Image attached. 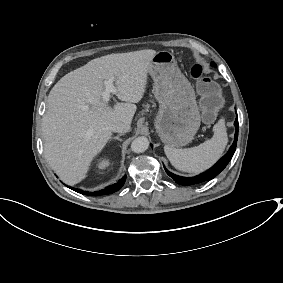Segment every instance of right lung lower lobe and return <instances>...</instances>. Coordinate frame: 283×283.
Wrapping results in <instances>:
<instances>
[{
    "label": "right lung lower lobe",
    "instance_id": "98d812e1",
    "mask_svg": "<svg viewBox=\"0 0 283 283\" xmlns=\"http://www.w3.org/2000/svg\"><path fill=\"white\" fill-rule=\"evenodd\" d=\"M125 180H126V176H124L117 183L110 185L103 190H100V191H97V192H92V193H89L87 191H82L80 189H76V188H72V187H69V188L78 192V193L84 194V195H91V196L107 195V194H111V193L118 191L124 185Z\"/></svg>",
    "mask_w": 283,
    "mask_h": 283
}]
</instances>
